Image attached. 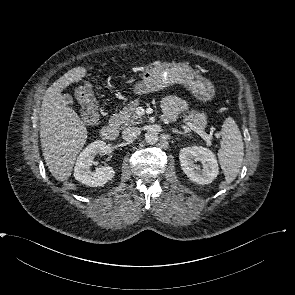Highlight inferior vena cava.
Returning <instances> with one entry per match:
<instances>
[{"label":"inferior vena cava","mask_w":295,"mask_h":295,"mask_svg":"<svg viewBox=\"0 0 295 295\" xmlns=\"http://www.w3.org/2000/svg\"><path fill=\"white\" fill-rule=\"evenodd\" d=\"M141 133L138 127H128L122 131V138L126 141L135 140Z\"/></svg>","instance_id":"602c4592"}]
</instances>
